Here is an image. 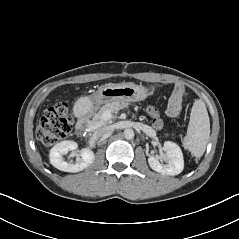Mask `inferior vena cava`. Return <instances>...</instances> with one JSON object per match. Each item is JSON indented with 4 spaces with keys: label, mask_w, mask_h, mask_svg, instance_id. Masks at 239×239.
<instances>
[{
    "label": "inferior vena cava",
    "mask_w": 239,
    "mask_h": 239,
    "mask_svg": "<svg viewBox=\"0 0 239 239\" xmlns=\"http://www.w3.org/2000/svg\"><path fill=\"white\" fill-rule=\"evenodd\" d=\"M112 131H113V127L112 126H105V127L101 128V129H99L95 133L94 137L97 139V138H99V137H101L103 135H107V134L111 133Z\"/></svg>",
    "instance_id": "obj_1"
}]
</instances>
